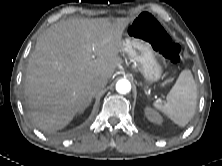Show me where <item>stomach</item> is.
Wrapping results in <instances>:
<instances>
[{
	"label": "stomach",
	"instance_id": "1",
	"mask_svg": "<svg viewBox=\"0 0 222 166\" xmlns=\"http://www.w3.org/2000/svg\"><path fill=\"white\" fill-rule=\"evenodd\" d=\"M122 51L137 64L138 70L149 83L158 81L162 75V67L157 61L151 46L141 38L128 35L123 41Z\"/></svg>",
	"mask_w": 222,
	"mask_h": 166
}]
</instances>
